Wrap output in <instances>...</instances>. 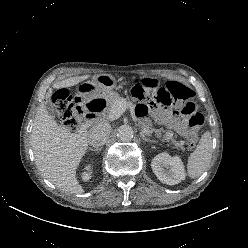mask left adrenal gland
<instances>
[{
	"label": "left adrenal gland",
	"instance_id": "left-adrenal-gland-1",
	"mask_svg": "<svg viewBox=\"0 0 248 248\" xmlns=\"http://www.w3.org/2000/svg\"><path fill=\"white\" fill-rule=\"evenodd\" d=\"M140 136H141L142 140H144V141L155 142L154 140H151L150 138L145 137V135L142 132H140Z\"/></svg>",
	"mask_w": 248,
	"mask_h": 248
}]
</instances>
